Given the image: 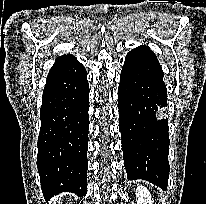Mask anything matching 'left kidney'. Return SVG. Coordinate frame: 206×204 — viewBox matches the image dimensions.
<instances>
[{
  "mask_svg": "<svg viewBox=\"0 0 206 204\" xmlns=\"http://www.w3.org/2000/svg\"><path fill=\"white\" fill-rule=\"evenodd\" d=\"M137 204H152L153 199L146 187L140 185L136 189Z\"/></svg>",
  "mask_w": 206,
  "mask_h": 204,
  "instance_id": "left-kidney-1",
  "label": "left kidney"
}]
</instances>
